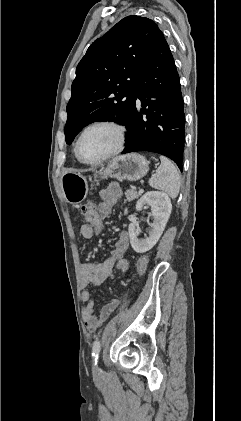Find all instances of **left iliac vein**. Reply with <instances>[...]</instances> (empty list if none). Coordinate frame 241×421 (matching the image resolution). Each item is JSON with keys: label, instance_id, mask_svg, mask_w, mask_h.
<instances>
[{"label": "left iliac vein", "instance_id": "obj_1", "mask_svg": "<svg viewBox=\"0 0 241 421\" xmlns=\"http://www.w3.org/2000/svg\"><path fill=\"white\" fill-rule=\"evenodd\" d=\"M98 370H99L98 365L94 363V364H93V371H94V372H98Z\"/></svg>", "mask_w": 241, "mask_h": 421}]
</instances>
